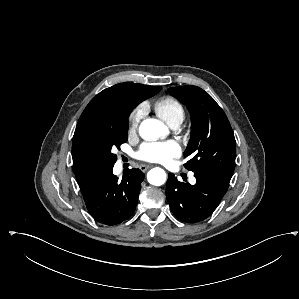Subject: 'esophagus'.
Listing matches in <instances>:
<instances>
[{
	"label": "esophagus",
	"instance_id": "1",
	"mask_svg": "<svg viewBox=\"0 0 299 299\" xmlns=\"http://www.w3.org/2000/svg\"><path fill=\"white\" fill-rule=\"evenodd\" d=\"M151 167H152L151 165L141 164L139 168H140L141 171L145 172L148 169H150Z\"/></svg>",
	"mask_w": 299,
	"mask_h": 299
}]
</instances>
